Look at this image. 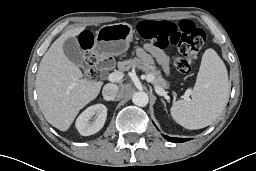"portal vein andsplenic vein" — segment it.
I'll return each instance as SVG.
<instances>
[{
  "label": "portal vein and splenic vein",
  "mask_w": 256,
  "mask_h": 171,
  "mask_svg": "<svg viewBox=\"0 0 256 171\" xmlns=\"http://www.w3.org/2000/svg\"><path fill=\"white\" fill-rule=\"evenodd\" d=\"M123 77H124V74L122 72L116 71V72H112L108 75V80L110 82H119L120 80H122ZM146 79H147L148 82H152L153 81V76L152 75H147ZM155 90H156L157 94H159L161 96H164V97H168L167 93L164 91L163 88L155 87ZM189 95H190L189 92H186L183 97L185 99H189Z\"/></svg>",
  "instance_id": "obj_1"
}]
</instances>
